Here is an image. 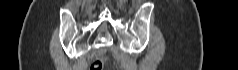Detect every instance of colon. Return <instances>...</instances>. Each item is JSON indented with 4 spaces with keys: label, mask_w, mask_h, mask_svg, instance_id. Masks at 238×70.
I'll return each instance as SVG.
<instances>
[{
    "label": "colon",
    "mask_w": 238,
    "mask_h": 70,
    "mask_svg": "<svg viewBox=\"0 0 238 70\" xmlns=\"http://www.w3.org/2000/svg\"><path fill=\"white\" fill-rule=\"evenodd\" d=\"M102 69H103V61L101 59L95 60L90 67V70H102Z\"/></svg>",
    "instance_id": "5ec220e1"
}]
</instances>
